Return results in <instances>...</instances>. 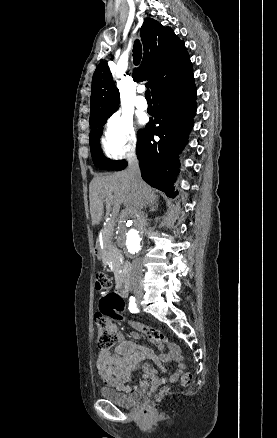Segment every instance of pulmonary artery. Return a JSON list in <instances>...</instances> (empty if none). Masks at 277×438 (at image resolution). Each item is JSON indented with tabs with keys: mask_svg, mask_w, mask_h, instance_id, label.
Masks as SVG:
<instances>
[{
	"mask_svg": "<svg viewBox=\"0 0 277 438\" xmlns=\"http://www.w3.org/2000/svg\"><path fill=\"white\" fill-rule=\"evenodd\" d=\"M135 105H136V107L138 109H141V110H146L147 109V102L142 97L136 99Z\"/></svg>",
	"mask_w": 277,
	"mask_h": 438,
	"instance_id": "pulmonary-artery-1",
	"label": "pulmonary artery"
}]
</instances>
